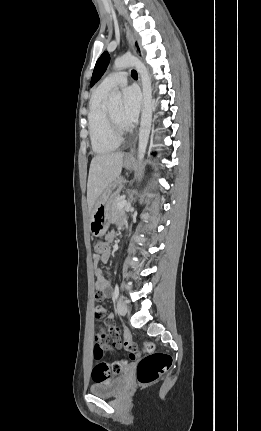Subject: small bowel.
I'll list each match as a JSON object with an SVG mask.
<instances>
[{"mask_svg":"<svg viewBox=\"0 0 261 431\" xmlns=\"http://www.w3.org/2000/svg\"><path fill=\"white\" fill-rule=\"evenodd\" d=\"M119 222L122 223L123 220L121 219L119 220ZM114 237H115L114 233L109 232L106 235V240L108 242H112L114 240ZM109 259H110V254L107 253L101 258L96 259V261H101L103 263H106L109 261ZM94 274L96 277V283H95L96 291L94 295V300L96 305L94 306L93 313L95 314L94 320L96 321V323L94 324V327L97 330V334L94 336V339L96 340L97 344H100L101 346H105L106 334L104 330L106 328L108 334L112 337L111 346L115 349H118L121 346V342L118 335V330L114 328L112 325V320L114 316L110 314L107 320V317L105 315L108 313V310L104 307L107 298L111 297L112 295L111 281L108 277L104 275L102 269L99 268L98 266L94 267ZM123 346L125 347L126 351L129 352L130 355H135L136 351L139 350V345L136 343H132L129 333H126L124 336ZM112 374H118V373H112Z\"/></svg>","mask_w":261,"mask_h":431,"instance_id":"c3829d8e","label":"small bowel"}]
</instances>
